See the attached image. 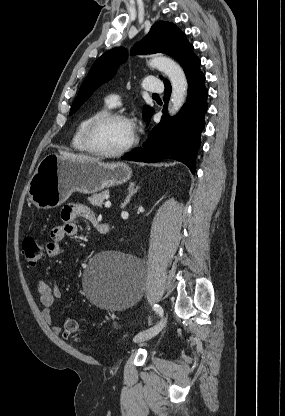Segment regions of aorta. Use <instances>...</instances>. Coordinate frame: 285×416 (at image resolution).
Here are the masks:
<instances>
[{
	"mask_svg": "<svg viewBox=\"0 0 285 416\" xmlns=\"http://www.w3.org/2000/svg\"><path fill=\"white\" fill-rule=\"evenodd\" d=\"M149 65L163 72L170 80L172 93L170 98L171 105L168 110L170 115L176 114L187 96L188 83L183 69L173 60L162 56L152 58L149 61Z\"/></svg>",
	"mask_w": 285,
	"mask_h": 416,
	"instance_id": "1",
	"label": "aorta"
}]
</instances>
